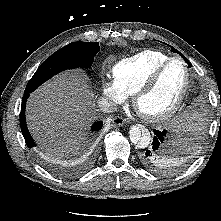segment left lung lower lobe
Instances as JSON below:
<instances>
[{"label":"left lung lower lobe","instance_id":"1","mask_svg":"<svg viewBox=\"0 0 221 221\" xmlns=\"http://www.w3.org/2000/svg\"><path fill=\"white\" fill-rule=\"evenodd\" d=\"M166 134V130L159 131L154 129L153 146L142 156L143 164L148 169L159 173H167L169 165L171 164L164 157V155H166L164 143Z\"/></svg>","mask_w":221,"mask_h":221}]
</instances>
